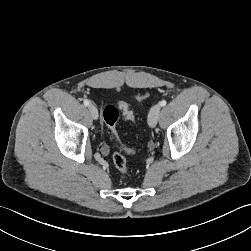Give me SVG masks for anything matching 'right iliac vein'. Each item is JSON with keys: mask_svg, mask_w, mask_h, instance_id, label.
Listing matches in <instances>:
<instances>
[{"mask_svg": "<svg viewBox=\"0 0 251 251\" xmlns=\"http://www.w3.org/2000/svg\"><path fill=\"white\" fill-rule=\"evenodd\" d=\"M88 110L90 112V115L92 116L93 119L97 120L99 117L98 110L94 105H90L88 107Z\"/></svg>", "mask_w": 251, "mask_h": 251, "instance_id": "63e3f726", "label": "right iliac vein"}]
</instances>
